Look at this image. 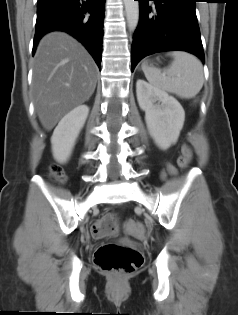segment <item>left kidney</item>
Segmentation results:
<instances>
[{
    "label": "left kidney",
    "mask_w": 238,
    "mask_h": 315,
    "mask_svg": "<svg viewBox=\"0 0 238 315\" xmlns=\"http://www.w3.org/2000/svg\"><path fill=\"white\" fill-rule=\"evenodd\" d=\"M136 93L150 135L161 149H168L177 142L183 128V107L174 97L142 79L137 80Z\"/></svg>",
    "instance_id": "obj_1"
}]
</instances>
